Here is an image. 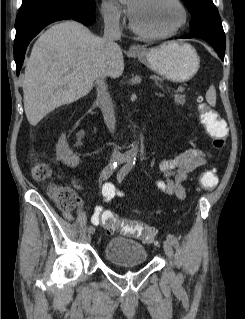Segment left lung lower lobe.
<instances>
[{
  "mask_svg": "<svg viewBox=\"0 0 245 319\" xmlns=\"http://www.w3.org/2000/svg\"><path fill=\"white\" fill-rule=\"evenodd\" d=\"M192 37H194V36L189 35V36H181L180 38H192ZM196 38H198V37H196ZM199 39H202V40H205L206 42H208L215 49V51L218 53L221 60H224L225 47H222V46L214 43L213 41H210L207 39H203V38H199Z\"/></svg>",
  "mask_w": 245,
  "mask_h": 319,
  "instance_id": "obj_1",
  "label": "left lung lower lobe"
}]
</instances>
